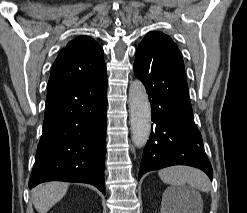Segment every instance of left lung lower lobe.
I'll use <instances>...</instances> for the list:
<instances>
[{
    "mask_svg": "<svg viewBox=\"0 0 247 213\" xmlns=\"http://www.w3.org/2000/svg\"><path fill=\"white\" fill-rule=\"evenodd\" d=\"M134 73L146 87L154 122L138 178L167 166L189 165L203 170L212 180V167L194 122L184 64L135 61Z\"/></svg>",
    "mask_w": 247,
    "mask_h": 213,
    "instance_id": "0a47b994",
    "label": "left lung lower lobe"
}]
</instances>
